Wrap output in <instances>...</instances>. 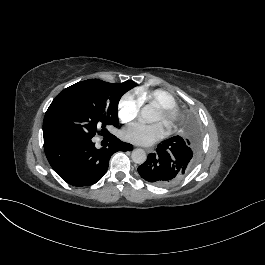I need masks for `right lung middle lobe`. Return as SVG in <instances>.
Here are the masks:
<instances>
[{"mask_svg": "<svg viewBox=\"0 0 265 265\" xmlns=\"http://www.w3.org/2000/svg\"><path fill=\"white\" fill-rule=\"evenodd\" d=\"M136 86L133 81L108 83L98 79L78 82L60 92L43 122L44 147L67 139H87L117 127L121 96ZM110 134V133H107Z\"/></svg>", "mask_w": 265, "mask_h": 265, "instance_id": "dd1d6c3e", "label": "right lung middle lobe"}]
</instances>
